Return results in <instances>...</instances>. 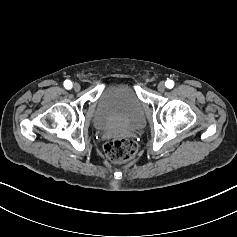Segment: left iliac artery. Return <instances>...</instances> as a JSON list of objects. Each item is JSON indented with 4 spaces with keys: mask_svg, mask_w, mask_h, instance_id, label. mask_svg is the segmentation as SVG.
<instances>
[{
    "mask_svg": "<svg viewBox=\"0 0 237 237\" xmlns=\"http://www.w3.org/2000/svg\"><path fill=\"white\" fill-rule=\"evenodd\" d=\"M165 86H166L167 88H169V89L173 88V86H174V81L168 79V80L165 82Z\"/></svg>",
    "mask_w": 237,
    "mask_h": 237,
    "instance_id": "obj_1",
    "label": "left iliac artery"
}]
</instances>
